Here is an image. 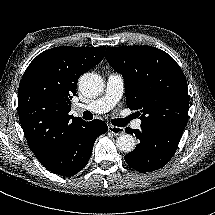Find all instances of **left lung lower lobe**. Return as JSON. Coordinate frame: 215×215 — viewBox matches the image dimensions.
Returning a JSON list of instances; mask_svg holds the SVG:
<instances>
[{
  "mask_svg": "<svg viewBox=\"0 0 215 215\" xmlns=\"http://www.w3.org/2000/svg\"><path fill=\"white\" fill-rule=\"evenodd\" d=\"M139 139L136 148L125 155L127 164L139 172L162 168L174 155L184 128L177 126H141V130L126 128Z\"/></svg>",
  "mask_w": 215,
  "mask_h": 215,
  "instance_id": "1",
  "label": "left lung lower lobe"
}]
</instances>
